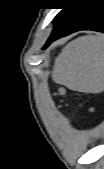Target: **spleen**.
Listing matches in <instances>:
<instances>
[{
	"label": "spleen",
	"mask_w": 104,
	"mask_h": 169,
	"mask_svg": "<svg viewBox=\"0 0 104 169\" xmlns=\"http://www.w3.org/2000/svg\"><path fill=\"white\" fill-rule=\"evenodd\" d=\"M52 79L73 91L104 90V41L100 34L79 37L68 43L55 60Z\"/></svg>",
	"instance_id": "spleen-1"
}]
</instances>
